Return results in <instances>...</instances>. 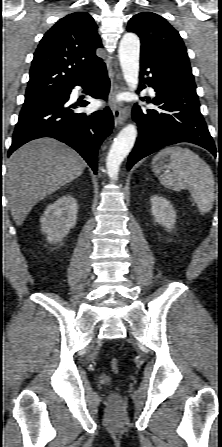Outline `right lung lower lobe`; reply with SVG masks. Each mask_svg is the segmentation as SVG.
<instances>
[{
	"label": "right lung lower lobe",
	"instance_id": "obj_1",
	"mask_svg": "<svg viewBox=\"0 0 222 447\" xmlns=\"http://www.w3.org/2000/svg\"><path fill=\"white\" fill-rule=\"evenodd\" d=\"M76 85L84 87L88 95L106 100L110 88L106 65L103 63ZM74 86L55 101L21 111L8 156L30 140L52 137L74 148L94 173L97 172V151L112 131L113 116L108 107L91 114L74 112L78 104L68 102ZM88 104V101H83L80 106L85 107Z\"/></svg>",
	"mask_w": 222,
	"mask_h": 447
}]
</instances>
